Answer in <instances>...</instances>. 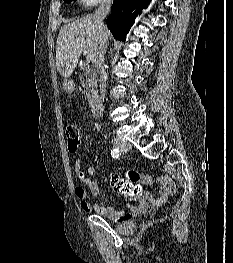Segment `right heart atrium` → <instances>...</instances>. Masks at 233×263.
Here are the masks:
<instances>
[{
	"label": "right heart atrium",
	"mask_w": 233,
	"mask_h": 263,
	"mask_svg": "<svg viewBox=\"0 0 233 263\" xmlns=\"http://www.w3.org/2000/svg\"><path fill=\"white\" fill-rule=\"evenodd\" d=\"M79 1L83 6L87 7V6H93L99 3H104L109 0H79Z\"/></svg>",
	"instance_id": "obj_1"
}]
</instances>
